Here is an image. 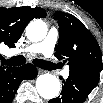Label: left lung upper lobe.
Masks as SVG:
<instances>
[{
    "mask_svg": "<svg viewBox=\"0 0 103 103\" xmlns=\"http://www.w3.org/2000/svg\"><path fill=\"white\" fill-rule=\"evenodd\" d=\"M54 19L59 25V40L55 56L67 62L70 72H101L103 70L100 47L89 30L73 15L56 11Z\"/></svg>",
    "mask_w": 103,
    "mask_h": 103,
    "instance_id": "obj_1",
    "label": "left lung upper lobe"
}]
</instances>
